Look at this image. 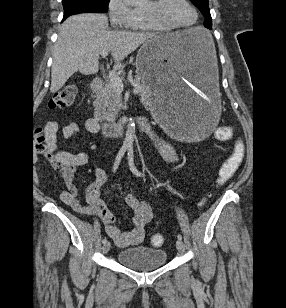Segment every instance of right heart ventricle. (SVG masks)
Returning <instances> with one entry per match:
<instances>
[{
  "mask_svg": "<svg viewBox=\"0 0 286 308\" xmlns=\"http://www.w3.org/2000/svg\"><path fill=\"white\" fill-rule=\"evenodd\" d=\"M131 29L140 32H167L171 30L157 25L146 16L145 12L141 11H138L137 22Z\"/></svg>",
  "mask_w": 286,
  "mask_h": 308,
  "instance_id": "obj_1",
  "label": "right heart ventricle"
}]
</instances>
